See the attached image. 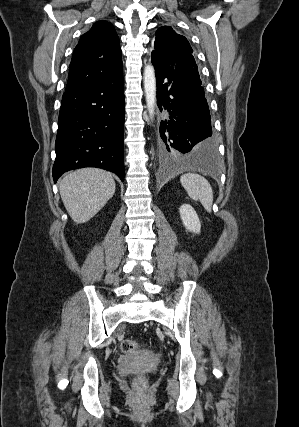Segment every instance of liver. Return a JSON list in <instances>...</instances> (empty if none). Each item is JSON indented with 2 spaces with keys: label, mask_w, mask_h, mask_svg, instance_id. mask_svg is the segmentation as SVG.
I'll list each match as a JSON object with an SVG mask.
<instances>
[{
  "label": "liver",
  "mask_w": 299,
  "mask_h": 427,
  "mask_svg": "<svg viewBox=\"0 0 299 427\" xmlns=\"http://www.w3.org/2000/svg\"><path fill=\"white\" fill-rule=\"evenodd\" d=\"M115 188L112 174L98 168L72 171L59 182L61 199L76 223L94 217L113 197Z\"/></svg>",
  "instance_id": "6515ba94"
}]
</instances>
